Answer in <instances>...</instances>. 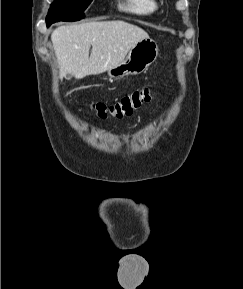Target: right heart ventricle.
<instances>
[{
  "label": "right heart ventricle",
  "mask_w": 243,
  "mask_h": 289,
  "mask_svg": "<svg viewBox=\"0 0 243 289\" xmlns=\"http://www.w3.org/2000/svg\"><path fill=\"white\" fill-rule=\"evenodd\" d=\"M123 12L137 16H149L157 11L156 0H121L118 5Z\"/></svg>",
  "instance_id": "right-heart-ventricle-1"
}]
</instances>
